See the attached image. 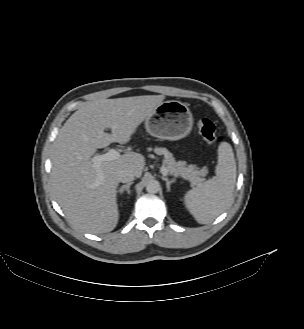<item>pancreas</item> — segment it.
<instances>
[{
  "instance_id": "cf45deb5",
  "label": "pancreas",
  "mask_w": 304,
  "mask_h": 329,
  "mask_svg": "<svg viewBox=\"0 0 304 329\" xmlns=\"http://www.w3.org/2000/svg\"><path fill=\"white\" fill-rule=\"evenodd\" d=\"M149 151L152 149L149 148ZM153 151L158 155H164L165 165L170 175L181 177L190 182L192 186L200 185L208 173L207 167L199 168L196 165L187 166L184 161H176L172 153L166 148L156 147Z\"/></svg>"
}]
</instances>
